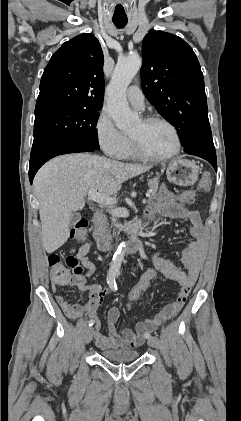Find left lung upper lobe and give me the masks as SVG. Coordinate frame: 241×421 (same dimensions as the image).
<instances>
[{
	"label": "left lung upper lobe",
	"mask_w": 241,
	"mask_h": 421,
	"mask_svg": "<svg viewBox=\"0 0 241 421\" xmlns=\"http://www.w3.org/2000/svg\"><path fill=\"white\" fill-rule=\"evenodd\" d=\"M142 57L145 97L177 129L184 151L213 143L203 73L192 48L176 35L150 30Z\"/></svg>",
	"instance_id": "1"
}]
</instances>
